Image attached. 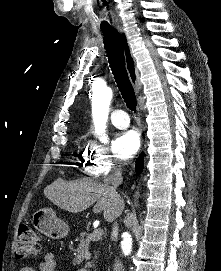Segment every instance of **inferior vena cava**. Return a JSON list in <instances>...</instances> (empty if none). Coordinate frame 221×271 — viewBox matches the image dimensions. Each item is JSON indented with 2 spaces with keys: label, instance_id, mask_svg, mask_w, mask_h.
<instances>
[{
  "label": "inferior vena cava",
  "instance_id": "602c4592",
  "mask_svg": "<svg viewBox=\"0 0 221 271\" xmlns=\"http://www.w3.org/2000/svg\"><path fill=\"white\" fill-rule=\"evenodd\" d=\"M121 173H122L121 165H118V167H114L112 173H110V175H108V177L104 179V183L106 185L105 197H111V199H117V197H120L117 191V187L118 185H120V183H122L123 177ZM115 219L116 217H113L112 219V221H114L112 225V235H111L112 241H116L117 235L119 233V225L117 221H115ZM113 271H125V267L121 259H119V257H117V259H115V263H113Z\"/></svg>",
  "mask_w": 221,
  "mask_h": 271
}]
</instances>
